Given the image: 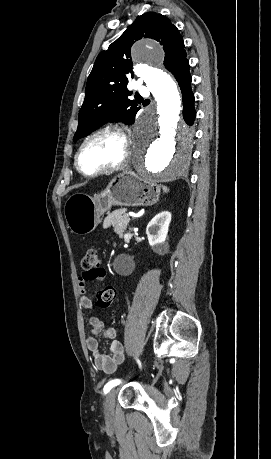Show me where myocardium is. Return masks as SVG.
Returning <instances> with one entry per match:
<instances>
[{"instance_id":"myocardium-1","label":"myocardium","mask_w":271,"mask_h":459,"mask_svg":"<svg viewBox=\"0 0 271 459\" xmlns=\"http://www.w3.org/2000/svg\"><path fill=\"white\" fill-rule=\"evenodd\" d=\"M105 132H112L114 134H116L117 136L120 137V139L123 141L124 143V146H125V149H124V153L123 155L121 156V158L112 163V164H108V165H105L103 167H100L92 172H86L84 171L81 167H80V164H79V157H80V154L82 152V149L84 148L85 144L91 139L93 138L94 136H97L99 134H102V133H105ZM131 151H132V146H131V142H130V138L125 130V128L119 124H116V123H109V124H106V125H103L97 129H95L94 131L90 132L88 135H86L83 140L81 141V143L79 144L76 152H75V155H74V165H75V168L76 170L83 176L85 177H88V178H92V177H95V176H98L100 174H103V173H106V172H111V171H115V170H119L121 168H123L124 166H126L129 162V159H130V156H131Z\"/></svg>"}]
</instances>
